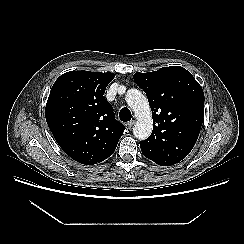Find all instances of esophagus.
Listing matches in <instances>:
<instances>
[{"label":"esophagus","mask_w":244,"mask_h":244,"mask_svg":"<svg viewBox=\"0 0 244 244\" xmlns=\"http://www.w3.org/2000/svg\"><path fill=\"white\" fill-rule=\"evenodd\" d=\"M134 123H135L134 120H131V121L127 122L126 126L128 128H131L134 125Z\"/></svg>","instance_id":"esophagus-1"}]
</instances>
